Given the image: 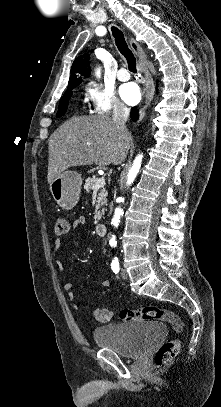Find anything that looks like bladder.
Wrapping results in <instances>:
<instances>
[{
  "label": "bladder",
  "mask_w": 221,
  "mask_h": 407,
  "mask_svg": "<svg viewBox=\"0 0 221 407\" xmlns=\"http://www.w3.org/2000/svg\"><path fill=\"white\" fill-rule=\"evenodd\" d=\"M166 333L164 324L125 322L100 325L93 331L97 346L113 349L123 357L142 355L154 340Z\"/></svg>",
  "instance_id": "bladder-1"
}]
</instances>
